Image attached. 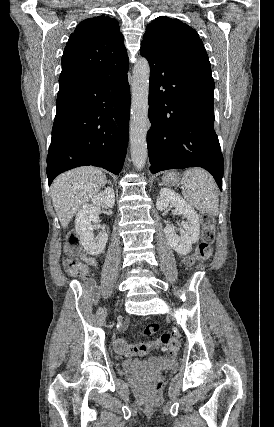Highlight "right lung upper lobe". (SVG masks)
<instances>
[{
  "instance_id": "right-lung-upper-lobe-1",
  "label": "right lung upper lobe",
  "mask_w": 274,
  "mask_h": 427,
  "mask_svg": "<svg viewBox=\"0 0 274 427\" xmlns=\"http://www.w3.org/2000/svg\"><path fill=\"white\" fill-rule=\"evenodd\" d=\"M128 64L117 20L95 16L77 25L62 56L58 96L101 80Z\"/></svg>"
}]
</instances>
